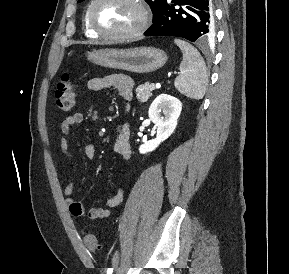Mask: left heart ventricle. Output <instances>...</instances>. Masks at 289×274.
<instances>
[{"label":"left heart ventricle","mask_w":289,"mask_h":274,"mask_svg":"<svg viewBox=\"0 0 289 274\" xmlns=\"http://www.w3.org/2000/svg\"><path fill=\"white\" fill-rule=\"evenodd\" d=\"M93 19L106 32L124 33L139 24L140 13L130 0H101L94 7Z\"/></svg>","instance_id":"obj_1"}]
</instances>
